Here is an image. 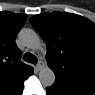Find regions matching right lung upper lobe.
Listing matches in <instances>:
<instances>
[{
  "instance_id": "obj_1",
  "label": "right lung upper lobe",
  "mask_w": 95,
  "mask_h": 95,
  "mask_svg": "<svg viewBox=\"0 0 95 95\" xmlns=\"http://www.w3.org/2000/svg\"><path fill=\"white\" fill-rule=\"evenodd\" d=\"M26 19L25 14L0 12V95H18L24 81L34 72L20 61L21 51L15 43Z\"/></svg>"
}]
</instances>
